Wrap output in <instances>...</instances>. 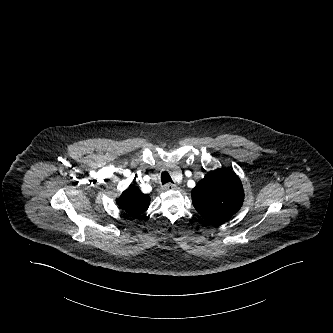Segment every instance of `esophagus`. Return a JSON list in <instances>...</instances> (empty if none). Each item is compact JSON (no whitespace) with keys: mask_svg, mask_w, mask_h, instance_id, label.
Wrapping results in <instances>:
<instances>
[{"mask_svg":"<svg viewBox=\"0 0 333 333\" xmlns=\"http://www.w3.org/2000/svg\"><path fill=\"white\" fill-rule=\"evenodd\" d=\"M165 190H176L177 189V185L176 184H172V183H167L164 186Z\"/></svg>","mask_w":333,"mask_h":333,"instance_id":"34e87169","label":"esophagus"}]
</instances>
